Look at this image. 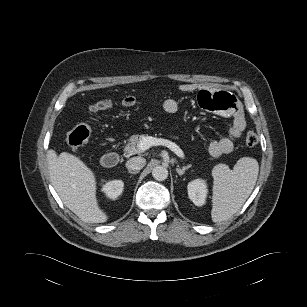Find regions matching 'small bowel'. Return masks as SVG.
<instances>
[{
	"label": "small bowel",
	"instance_id": "obj_1",
	"mask_svg": "<svg viewBox=\"0 0 307 307\" xmlns=\"http://www.w3.org/2000/svg\"><path fill=\"white\" fill-rule=\"evenodd\" d=\"M179 90L182 93L198 92L197 100L202 108L214 111L222 117L232 119V125L228 135L219 140L210 142L207 148L208 154L213 158H218L232 152L235 141L241 136L246 127L243 112L236 98L230 93L224 91L213 92L208 87L199 86L193 83L181 84ZM178 108V101L173 98H168L163 102V109L167 113H176Z\"/></svg>",
	"mask_w": 307,
	"mask_h": 307
}]
</instances>
